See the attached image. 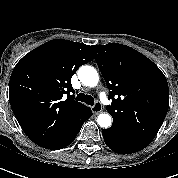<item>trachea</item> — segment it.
<instances>
[{
    "mask_svg": "<svg viewBox=\"0 0 178 178\" xmlns=\"http://www.w3.org/2000/svg\"><path fill=\"white\" fill-rule=\"evenodd\" d=\"M77 101L85 102L88 105L94 104V98L90 95H85L84 93H79L76 97Z\"/></svg>",
    "mask_w": 178,
    "mask_h": 178,
    "instance_id": "1",
    "label": "trachea"
}]
</instances>
